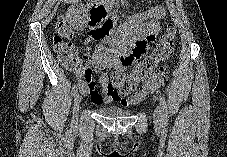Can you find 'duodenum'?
Wrapping results in <instances>:
<instances>
[{
	"label": "duodenum",
	"mask_w": 227,
	"mask_h": 157,
	"mask_svg": "<svg viewBox=\"0 0 227 157\" xmlns=\"http://www.w3.org/2000/svg\"><path fill=\"white\" fill-rule=\"evenodd\" d=\"M87 9H91V16L90 20H86V25H90L92 32L117 30V25H114V16L107 13L104 4L99 0H93L91 4H87Z\"/></svg>",
	"instance_id": "duodenum-1"
}]
</instances>
